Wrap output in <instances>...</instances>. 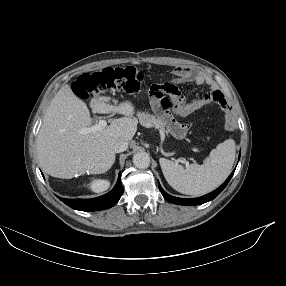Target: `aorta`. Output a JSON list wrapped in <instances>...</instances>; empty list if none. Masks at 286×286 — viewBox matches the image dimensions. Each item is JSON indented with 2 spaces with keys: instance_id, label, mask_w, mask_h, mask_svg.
Instances as JSON below:
<instances>
[{
  "instance_id": "1",
  "label": "aorta",
  "mask_w": 286,
  "mask_h": 286,
  "mask_svg": "<svg viewBox=\"0 0 286 286\" xmlns=\"http://www.w3.org/2000/svg\"><path fill=\"white\" fill-rule=\"evenodd\" d=\"M133 163L139 169H146L150 166V157L145 152H138L133 156Z\"/></svg>"
}]
</instances>
